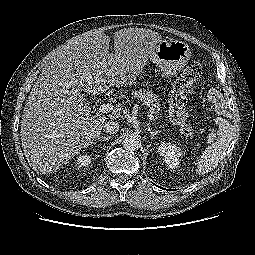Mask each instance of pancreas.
I'll return each instance as SVG.
<instances>
[{"instance_id": "pancreas-1", "label": "pancreas", "mask_w": 255, "mask_h": 255, "mask_svg": "<svg viewBox=\"0 0 255 255\" xmlns=\"http://www.w3.org/2000/svg\"><path fill=\"white\" fill-rule=\"evenodd\" d=\"M132 97L140 100L143 104L147 105L154 113L160 111V101L157 95L152 94L151 91L145 89L133 90Z\"/></svg>"}]
</instances>
